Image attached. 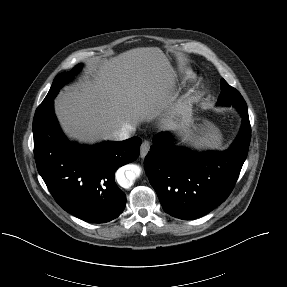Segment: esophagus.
Wrapping results in <instances>:
<instances>
[{
	"label": "esophagus",
	"mask_w": 287,
	"mask_h": 287,
	"mask_svg": "<svg viewBox=\"0 0 287 287\" xmlns=\"http://www.w3.org/2000/svg\"><path fill=\"white\" fill-rule=\"evenodd\" d=\"M150 145H151V143L148 140H145L142 142V145L140 147V156L142 158H144L147 155V153L149 152Z\"/></svg>",
	"instance_id": "1"
}]
</instances>
